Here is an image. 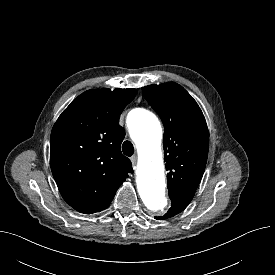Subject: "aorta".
<instances>
[{"label": "aorta", "mask_w": 275, "mask_h": 275, "mask_svg": "<svg viewBox=\"0 0 275 275\" xmlns=\"http://www.w3.org/2000/svg\"><path fill=\"white\" fill-rule=\"evenodd\" d=\"M130 121V133L140 156L138 192L148 212L161 216L168 208L161 151V124L153 113L145 109L133 110Z\"/></svg>", "instance_id": "aorta-1"}]
</instances>
